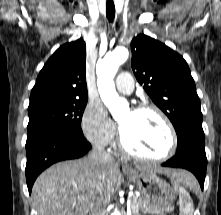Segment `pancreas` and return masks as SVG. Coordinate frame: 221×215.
I'll use <instances>...</instances> for the list:
<instances>
[{
	"mask_svg": "<svg viewBox=\"0 0 221 215\" xmlns=\"http://www.w3.org/2000/svg\"><path fill=\"white\" fill-rule=\"evenodd\" d=\"M131 211L133 215H140L141 213L159 215L163 212L162 209L154 206L149 200L141 196L131 197Z\"/></svg>",
	"mask_w": 221,
	"mask_h": 215,
	"instance_id": "obj_1",
	"label": "pancreas"
}]
</instances>
